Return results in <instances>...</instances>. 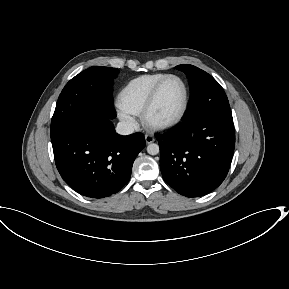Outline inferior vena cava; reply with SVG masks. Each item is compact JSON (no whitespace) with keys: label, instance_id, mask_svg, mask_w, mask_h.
<instances>
[{"label":"inferior vena cava","instance_id":"1","mask_svg":"<svg viewBox=\"0 0 289 289\" xmlns=\"http://www.w3.org/2000/svg\"><path fill=\"white\" fill-rule=\"evenodd\" d=\"M116 132L120 135H129L134 132V126L129 122H119L116 127Z\"/></svg>","mask_w":289,"mask_h":289}]
</instances>
